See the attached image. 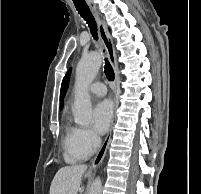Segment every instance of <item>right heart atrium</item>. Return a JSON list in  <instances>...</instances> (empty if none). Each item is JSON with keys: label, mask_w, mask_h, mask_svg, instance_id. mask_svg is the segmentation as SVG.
I'll return each instance as SVG.
<instances>
[{"label": "right heart atrium", "mask_w": 201, "mask_h": 194, "mask_svg": "<svg viewBox=\"0 0 201 194\" xmlns=\"http://www.w3.org/2000/svg\"><path fill=\"white\" fill-rule=\"evenodd\" d=\"M72 143L76 151L84 155H90L98 149L100 138L90 128L75 127L73 130Z\"/></svg>", "instance_id": "1"}]
</instances>
